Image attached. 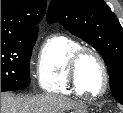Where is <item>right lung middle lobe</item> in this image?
<instances>
[{
	"label": "right lung middle lobe",
	"instance_id": "obj_1",
	"mask_svg": "<svg viewBox=\"0 0 123 113\" xmlns=\"http://www.w3.org/2000/svg\"><path fill=\"white\" fill-rule=\"evenodd\" d=\"M35 40L36 35L1 40V92L29 86V61Z\"/></svg>",
	"mask_w": 123,
	"mask_h": 113
}]
</instances>
